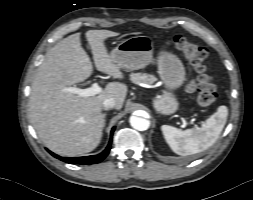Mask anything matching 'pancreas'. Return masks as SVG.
Masks as SVG:
<instances>
[{
  "label": "pancreas",
  "mask_w": 253,
  "mask_h": 200,
  "mask_svg": "<svg viewBox=\"0 0 253 200\" xmlns=\"http://www.w3.org/2000/svg\"><path fill=\"white\" fill-rule=\"evenodd\" d=\"M130 80L135 83L153 84L157 79L154 75L146 73H133L130 75Z\"/></svg>",
  "instance_id": "1"
}]
</instances>
